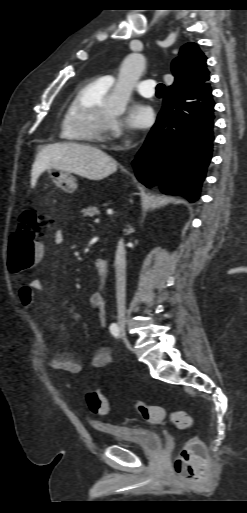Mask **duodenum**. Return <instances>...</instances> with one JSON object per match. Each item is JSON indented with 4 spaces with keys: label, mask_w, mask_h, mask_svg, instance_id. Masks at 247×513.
<instances>
[{
    "label": "duodenum",
    "mask_w": 247,
    "mask_h": 513,
    "mask_svg": "<svg viewBox=\"0 0 247 513\" xmlns=\"http://www.w3.org/2000/svg\"><path fill=\"white\" fill-rule=\"evenodd\" d=\"M95 272L99 281H105L107 278L108 265L104 258H97L94 263Z\"/></svg>",
    "instance_id": "1"
}]
</instances>
